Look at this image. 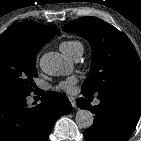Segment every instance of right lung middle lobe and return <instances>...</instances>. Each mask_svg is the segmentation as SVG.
Instances as JSON below:
<instances>
[{"label": "right lung middle lobe", "mask_w": 141, "mask_h": 141, "mask_svg": "<svg viewBox=\"0 0 141 141\" xmlns=\"http://www.w3.org/2000/svg\"><path fill=\"white\" fill-rule=\"evenodd\" d=\"M41 47L27 39L0 38V92L34 91L35 57Z\"/></svg>", "instance_id": "right-lung-middle-lobe-1"}]
</instances>
